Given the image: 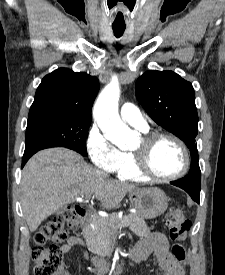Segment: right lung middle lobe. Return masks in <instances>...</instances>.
<instances>
[{"label":"right lung middle lobe","instance_id":"obj_1","mask_svg":"<svg viewBox=\"0 0 225 275\" xmlns=\"http://www.w3.org/2000/svg\"><path fill=\"white\" fill-rule=\"evenodd\" d=\"M90 117L41 115L28 118L24 154L50 147H66L88 156L85 139Z\"/></svg>","mask_w":225,"mask_h":275}]
</instances>
